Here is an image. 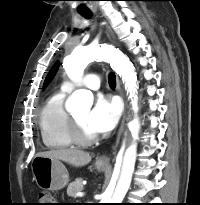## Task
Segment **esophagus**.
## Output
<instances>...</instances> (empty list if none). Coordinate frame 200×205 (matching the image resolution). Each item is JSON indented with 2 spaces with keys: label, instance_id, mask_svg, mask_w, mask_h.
I'll list each match as a JSON object with an SVG mask.
<instances>
[{
  "label": "esophagus",
  "instance_id": "34e87169",
  "mask_svg": "<svg viewBox=\"0 0 200 205\" xmlns=\"http://www.w3.org/2000/svg\"><path fill=\"white\" fill-rule=\"evenodd\" d=\"M107 35L110 39H112V40L114 39V35H113V33H112V31L109 27H107ZM117 89L119 91V94H120L123 102H124V111H123L121 124H120L119 130L117 132V136H116V139H115V144L113 146V154L116 153V149H117V146L119 144L120 137H121L122 132L124 130V124H125V119H126V102L124 100V92L121 88V83H120V80H119L118 77H117ZM98 162L101 163V164H108L110 162V156L102 155L98 158Z\"/></svg>",
  "mask_w": 200,
  "mask_h": 205
}]
</instances>
